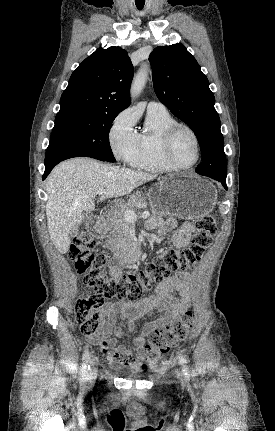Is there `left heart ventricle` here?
I'll return each instance as SVG.
<instances>
[{
	"mask_svg": "<svg viewBox=\"0 0 275 431\" xmlns=\"http://www.w3.org/2000/svg\"><path fill=\"white\" fill-rule=\"evenodd\" d=\"M172 154L182 165L191 164L196 157V147L192 136L187 131H180L173 142Z\"/></svg>",
	"mask_w": 275,
	"mask_h": 431,
	"instance_id": "1",
	"label": "left heart ventricle"
}]
</instances>
